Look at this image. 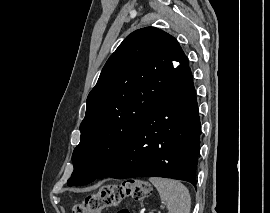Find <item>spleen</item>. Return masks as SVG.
I'll return each instance as SVG.
<instances>
[{
	"label": "spleen",
	"mask_w": 270,
	"mask_h": 213,
	"mask_svg": "<svg viewBox=\"0 0 270 213\" xmlns=\"http://www.w3.org/2000/svg\"><path fill=\"white\" fill-rule=\"evenodd\" d=\"M149 180L158 190L161 201L167 204L168 213H190V194L181 182L158 177Z\"/></svg>",
	"instance_id": "obj_1"
}]
</instances>
